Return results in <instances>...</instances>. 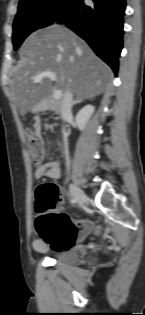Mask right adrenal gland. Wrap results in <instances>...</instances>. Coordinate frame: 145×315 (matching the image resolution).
<instances>
[{
	"mask_svg": "<svg viewBox=\"0 0 145 315\" xmlns=\"http://www.w3.org/2000/svg\"><path fill=\"white\" fill-rule=\"evenodd\" d=\"M84 98H78L74 101L73 105H76L78 103H81L83 101Z\"/></svg>",
	"mask_w": 145,
	"mask_h": 315,
	"instance_id": "1",
	"label": "right adrenal gland"
}]
</instances>
